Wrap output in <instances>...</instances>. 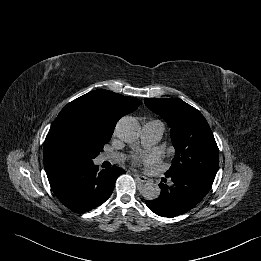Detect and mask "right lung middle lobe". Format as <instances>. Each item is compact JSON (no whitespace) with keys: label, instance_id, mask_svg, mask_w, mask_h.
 Instances as JSON below:
<instances>
[{"label":"right lung middle lobe","instance_id":"right-lung-middle-lobe-1","mask_svg":"<svg viewBox=\"0 0 261 261\" xmlns=\"http://www.w3.org/2000/svg\"><path fill=\"white\" fill-rule=\"evenodd\" d=\"M112 133L92 112L73 111L59 122L47 140V153L52 164L58 167L90 163Z\"/></svg>","mask_w":261,"mask_h":261}]
</instances>
